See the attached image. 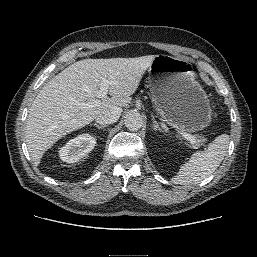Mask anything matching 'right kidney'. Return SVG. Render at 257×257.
I'll return each instance as SVG.
<instances>
[{
    "label": "right kidney",
    "mask_w": 257,
    "mask_h": 257,
    "mask_svg": "<svg viewBox=\"0 0 257 257\" xmlns=\"http://www.w3.org/2000/svg\"><path fill=\"white\" fill-rule=\"evenodd\" d=\"M96 139L89 134H82L69 140L65 146L59 150L62 161L74 163L87 155L95 147Z\"/></svg>",
    "instance_id": "obj_1"
}]
</instances>
